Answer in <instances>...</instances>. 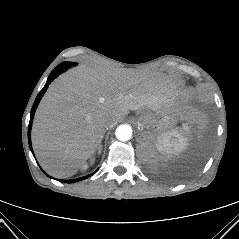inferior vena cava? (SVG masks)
I'll use <instances>...</instances> for the list:
<instances>
[{
    "instance_id": "1",
    "label": "inferior vena cava",
    "mask_w": 239,
    "mask_h": 239,
    "mask_svg": "<svg viewBox=\"0 0 239 239\" xmlns=\"http://www.w3.org/2000/svg\"><path fill=\"white\" fill-rule=\"evenodd\" d=\"M113 123H114L113 118H107V119L105 120V122H104V125H105V126H110V125H112Z\"/></svg>"
}]
</instances>
